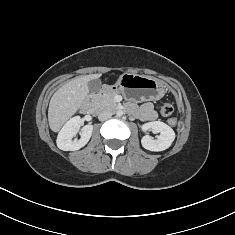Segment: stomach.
<instances>
[{"instance_id":"0dacf381","label":"stomach","mask_w":235,"mask_h":235,"mask_svg":"<svg viewBox=\"0 0 235 235\" xmlns=\"http://www.w3.org/2000/svg\"><path fill=\"white\" fill-rule=\"evenodd\" d=\"M108 89L121 93L127 100L136 103L159 100L165 94V84L162 81L131 73L121 75Z\"/></svg>"}]
</instances>
